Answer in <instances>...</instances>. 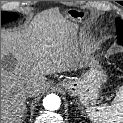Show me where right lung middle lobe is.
<instances>
[{
  "label": "right lung middle lobe",
  "instance_id": "right-lung-middle-lobe-1",
  "mask_svg": "<svg viewBox=\"0 0 123 123\" xmlns=\"http://www.w3.org/2000/svg\"><path fill=\"white\" fill-rule=\"evenodd\" d=\"M19 17L17 13L1 11V24L16 20Z\"/></svg>",
  "mask_w": 123,
  "mask_h": 123
}]
</instances>
